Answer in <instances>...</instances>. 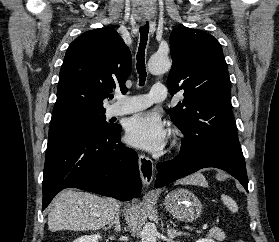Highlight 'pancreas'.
I'll return each instance as SVG.
<instances>
[{
    "mask_svg": "<svg viewBox=\"0 0 279 242\" xmlns=\"http://www.w3.org/2000/svg\"><path fill=\"white\" fill-rule=\"evenodd\" d=\"M208 237H212V238H215L217 240H222V239L225 238V234L220 229L214 228V229H211L209 231Z\"/></svg>",
    "mask_w": 279,
    "mask_h": 242,
    "instance_id": "cf45deb5",
    "label": "pancreas"
}]
</instances>
